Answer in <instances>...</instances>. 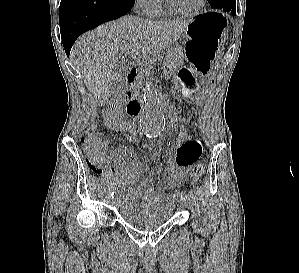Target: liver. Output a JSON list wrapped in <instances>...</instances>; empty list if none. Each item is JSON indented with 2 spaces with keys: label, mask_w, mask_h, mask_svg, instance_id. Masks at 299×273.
Here are the masks:
<instances>
[{
  "label": "liver",
  "mask_w": 299,
  "mask_h": 273,
  "mask_svg": "<svg viewBox=\"0 0 299 273\" xmlns=\"http://www.w3.org/2000/svg\"><path fill=\"white\" fill-rule=\"evenodd\" d=\"M190 20L151 21L125 16L82 35L71 50V59L98 105L110 97L109 83L118 54L149 58L172 46Z\"/></svg>",
  "instance_id": "1"
}]
</instances>
